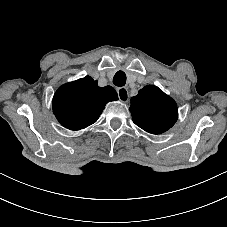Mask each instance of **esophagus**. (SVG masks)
I'll return each instance as SVG.
<instances>
[{
    "mask_svg": "<svg viewBox=\"0 0 227 227\" xmlns=\"http://www.w3.org/2000/svg\"><path fill=\"white\" fill-rule=\"evenodd\" d=\"M118 93V98L122 103H127L129 100V92L128 89L125 87H118L116 89Z\"/></svg>",
    "mask_w": 227,
    "mask_h": 227,
    "instance_id": "obj_1",
    "label": "esophagus"
}]
</instances>
